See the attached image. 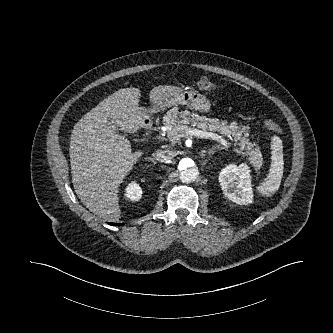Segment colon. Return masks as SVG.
Here are the masks:
<instances>
[{
    "label": "colon",
    "mask_w": 333,
    "mask_h": 333,
    "mask_svg": "<svg viewBox=\"0 0 333 333\" xmlns=\"http://www.w3.org/2000/svg\"><path fill=\"white\" fill-rule=\"evenodd\" d=\"M195 86L200 90H214L215 85L207 78H200L195 82ZM264 126L274 133H280L282 131L281 127L273 120H264Z\"/></svg>",
    "instance_id": "5ec220e1"
}]
</instances>
